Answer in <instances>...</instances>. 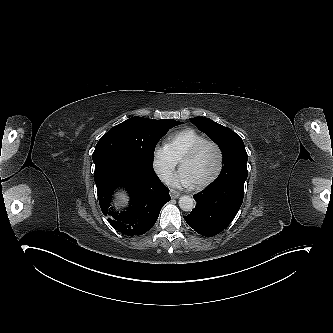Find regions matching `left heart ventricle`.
<instances>
[{
    "instance_id": "1",
    "label": "left heart ventricle",
    "mask_w": 333,
    "mask_h": 333,
    "mask_svg": "<svg viewBox=\"0 0 333 333\" xmlns=\"http://www.w3.org/2000/svg\"><path fill=\"white\" fill-rule=\"evenodd\" d=\"M217 164V153L212 146H204L200 152L183 169L186 170L193 183L208 178L215 170Z\"/></svg>"
}]
</instances>
